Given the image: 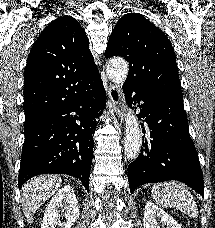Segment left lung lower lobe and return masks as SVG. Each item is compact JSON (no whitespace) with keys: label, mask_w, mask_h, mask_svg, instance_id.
Masks as SVG:
<instances>
[{"label":"left lung lower lobe","mask_w":215,"mask_h":228,"mask_svg":"<svg viewBox=\"0 0 215 228\" xmlns=\"http://www.w3.org/2000/svg\"><path fill=\"white\" fill-rule=\"evenodd\" d=\"M123 91L128 103L140 104L138 117L145 118L150 130V139H145L141 153L128 167L131 193L146 183L178 180L203 196V175L189 134L183 96L127 85Z\"/></svg>","instance_id":"left-lung-lower-lobe-1"}]
</instances>
